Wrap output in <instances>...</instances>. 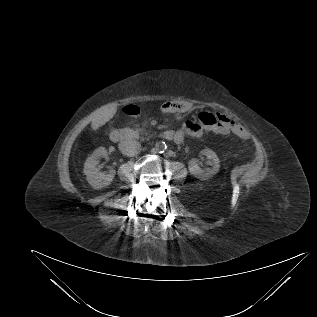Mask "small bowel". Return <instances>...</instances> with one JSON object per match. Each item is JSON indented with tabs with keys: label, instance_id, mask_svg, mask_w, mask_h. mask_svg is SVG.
Listing matches in <instances>:
<instances>
[{
	"label": "small bowel",
	"instance_id": "1",
	"mask_svg": "<svg viewBox=\"0 0 317 317\" xmlns=\"http://www.w3.org/2000/svg\"><path fill=\"white\" fill-rule=\"evenodd\" d=\"M192 109V105L183 100H170L166 101L162 105V111L166 114L170 113H184ZM219 122L214 126H206L194 121H186L181 129L175 134V141L181 144L186 136L200 137L205 129L212 130L216 133L227 134L229 132H235L241 137H245L246 133L242 126L231 119L229 116L223 113H218Z\"/></svg>",
	"mask_w": 317,
	"mask_h": 317
}]
</instances>
